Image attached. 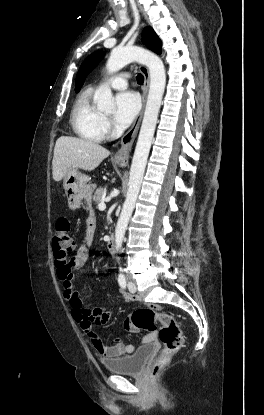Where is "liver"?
<instances>
[{"mask_svg": "<svg viewBox=\"0 0 264 415\" xmlns=\"http://www.w3.org/2000/svg\"><path fill=\"white\" fill-rule=\"evenodd\" d=\"M110 155L103 146L81 138L61 136L57 139L52 161L55 181H61L70 168L92 171Z\"/></svg>", "mask_w": 264, "mask_h": 415, "instance_id": "1", "label": "liver"}]
</instances>
